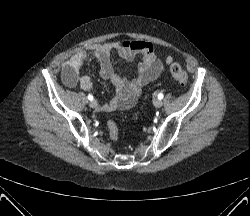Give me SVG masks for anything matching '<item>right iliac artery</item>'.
I'll use <instances>...</instances> for the list:
<instances>
[{
    "label": "right iliac artery",
    "instance_id": "1",
    "mask_svg": "<svg viewBox=\"0 0 250 216\" xmlns=\"http://www.w3.org/2000/svg\"><path fill=\"white\" fill-rule=\"evenodd\" d=\"M88 99L91 101L93 100V96L91 94L88 95Z\"/></svg>",
    "mask_w": 250,
    "mask_h": 216
}]
</instances>
